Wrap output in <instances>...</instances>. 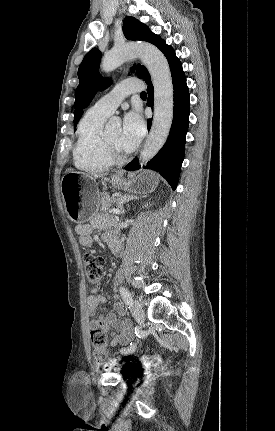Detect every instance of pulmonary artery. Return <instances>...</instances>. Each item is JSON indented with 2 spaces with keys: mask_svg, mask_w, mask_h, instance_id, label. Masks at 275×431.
<instances>
[{
  "mask_svg": "<svg viewBox=\"0 0 275 431\" xmlns=\"http://www.w3.org/2000/svg\"><path fill=\"white\" fill-rule=\"evenodd\" d=\"M142 89L143 85L139 80H124L118 83L109 93L97 100L92 108L106 115H111L128 95L140 92Z\"/></svg>",
  "mask_w": 275,
  "mask_h": 431,
  "instance_id": "pulmonary-artery-1",
  "label": "pulmonary artery"
}]
</instances>
